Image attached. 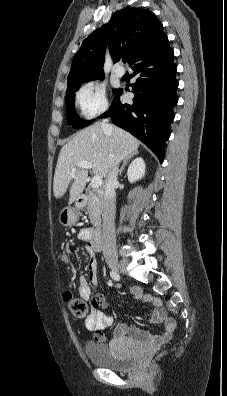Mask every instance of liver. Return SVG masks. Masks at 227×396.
Here are the masks:
<instances>
[{
    "mask_svg": "<svg viewBox=\"0 0 227 396\" xmlns=\"http://www.w3.org/2000/svg\"><path fill=\"white\" fill-rule=\"evenodd\" d=\"M138 147L139 141L136 138L115 126H112L111 134L105 133L99 124L81 130L60 151L53 181L54 196H63L73 180L69 204L80 197L86 185L88 172L77 166L79 162H91L93 174L101 178L106 177L122 159ZM73 168L76 170L72 174Z\"/></svg>",
    "mask_w": 227,
    "mask_h": 396,
    "instance_id": "liver-1",
    "label": "liver"
}]
</instances>
